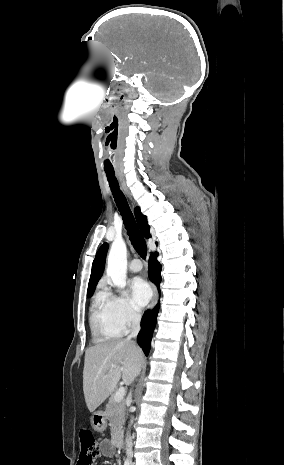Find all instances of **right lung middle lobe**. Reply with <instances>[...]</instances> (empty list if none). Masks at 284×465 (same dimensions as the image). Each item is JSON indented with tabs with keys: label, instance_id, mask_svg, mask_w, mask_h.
I'll return each instance as SVG.
<instances>
[{
	"label": "right lung middle lobe",
	"instance_id": "obj_1",
	"mask_svg": "<svg viewBox=\"0 0 284 465\" xmlns=\"http://www.w3.org/2000/svg\"><path fill=\"white\" fill-rule=\"evenodd\" d=\"M91 296H92V294H90V295H87V297H91Z\"/></svg>",
	"mask_w": 284,
	"mask_h": 465
}]
</instances>
